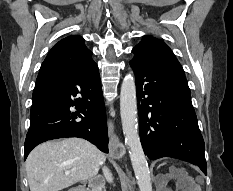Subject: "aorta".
I'll list each match as a JSON object with an SVG mask.
<instances>
[{"mask_svg":"<svg viewBox=\"0 0 233 191\" xmlns=\"http://www.w3.org/2000/svg\"><path fill=\"white\" fill-rule=\"evenodd\" d=\"M120 115L125 145L140 191H152L150 171L138 135L135 80L131 74L124 77L120 92Z\"/></svg>","mask_w":233,"mask_h":191,"instance_id":"aorta-1","label":"aorta"}]
</instances>
